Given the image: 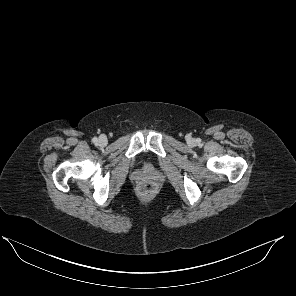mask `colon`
<instances>
[{
  "label": "colon",
  "mask_w": 296,
  "mask_h": 296,
  "mask_svg": "<svg viewBox=\"0 0 296 296\" xmlns=\"http://www.w3.org/2000/svg\"><path fill=\"white\" fill-rule=\"evenodd\" d=\"M139 193L143 197H150L155 193L156 185L151 181H144L138 187Z\"/></svg>",
  "instance_id": "5ec220e1"
}]
</instances>
